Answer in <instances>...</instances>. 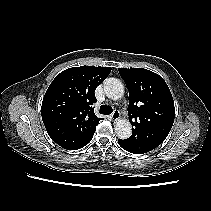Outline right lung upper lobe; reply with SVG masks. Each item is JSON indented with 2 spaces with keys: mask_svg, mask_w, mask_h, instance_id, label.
<instances>
[{
  "mask_svg": "<svg viewBox=\"0 0 211 211\" xmlns=\"http://www.w3.org/2000/svg\"><path fill=\"white\" fill-rule=\"evenodd\" d=\"M110 67L80 66L64 70L47 89L41 107L45 128L59 146L77 150L87 145L100 118L94 114L95 89Z\"/></svg>",
  "mask_w": 211,
  "mask_h": 211,
  "instance_id": "right-lung-upper-lobe-1",
  "label": "right lung upper lobe"
}]
</instances>
